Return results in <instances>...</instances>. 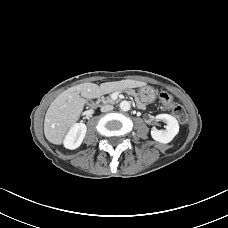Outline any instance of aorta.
Instances as JSON below:
<instances>
[{
  "label": "aorta",
  "mask_w": 228,
  "mask_h": 228,
  "mask_svg": "<svg viewBox=\"0 0 228 228\" xmlns=\"http://www.w3.org/2000/svg\"><path fill=\"white\" fill-rule=\"evenodd\" d=\"M119 106L122 111H129L130 107H131L130 102H128L126 100L121 101Z\"/></svg>",
  "instance_id": "1"
}]
</instances>
